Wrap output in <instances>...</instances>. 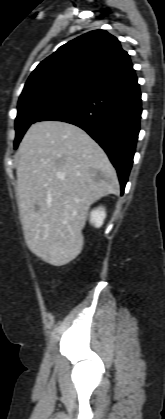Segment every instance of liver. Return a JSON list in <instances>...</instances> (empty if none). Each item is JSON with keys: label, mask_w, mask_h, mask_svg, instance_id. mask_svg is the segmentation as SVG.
<instances>
[{"label": "liver", "mask_w": 165, "mask_h": 419, "mask_svg": "<svg viewBox=\"0 0 165 419\" xmlns=\"http://www.w3.org/2000/svg\"><path fill=\"white\" fill-rule=\"evenodd\" d=\"M18 155L16 191L26 244L44 262L66 265L82 250L91 204L118 193L116 171L85 131L61 121L33 124Z\"/></svg>", "instance_id": "1"}]
</instances>
